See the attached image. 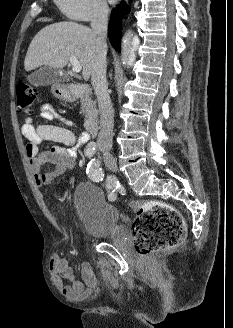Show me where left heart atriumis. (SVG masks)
<instances>
[{
	"instance_id": "left-heart-atrium-1",
	"label": "left heart atrium",
	"mask_w": 233,
	"mask_h": 328,
	"mask_svg": "<svg viewBox=\"0 0 233 328\" xmlns=\"http://www.w3.org/2000/svg\"><path fill=\"white\" fill-rule=\"evenodd\" d=\"M111 3H115L117 0H109Z\"/></svg>"
}]
</instances>
